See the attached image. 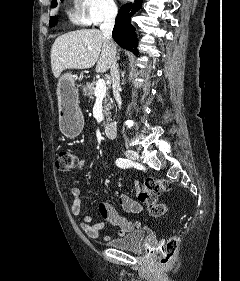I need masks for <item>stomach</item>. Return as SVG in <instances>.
<instances>
[{"label": "stomach", "instance_id": "0dacf381", "mask_svg": "<svg viewBox=\"0 0 240 281\" xmlns=\"http://www.w3.org/2000/svg\"><path fill=\"white\" fill-rule=\"evenodd\" d=\"M59 126L67 137L78 136L84 126V119L79 107L78 90L75 86V76L64 73L58 82Z\"/></svg>", "mask_w": 240, "mask_h": 281}]
</instances>
